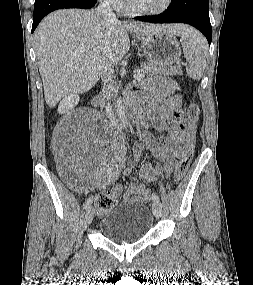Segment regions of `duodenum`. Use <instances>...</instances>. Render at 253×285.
<instances>
[{
	"mask_svg": "<svg viewBox=\"0 0 253 285\" xmlns=\"http://www.w3.org/2000/svg\"><path fill=\"white\" fill-rule=\"evenodd\" d=\"M138 100L132 96H130L126 102L125 105V113L126 116L128 117L129 120L132 122H140L141 116L139 114V109H138ZM100 104V100L95 97L92 100V105L98 106Z\"/></svg>",
	"mask_w": 253,
	"mask_h": 285,
	"instance_id": "obj_1",
	"label": "duodenum"
}]
</instances>
